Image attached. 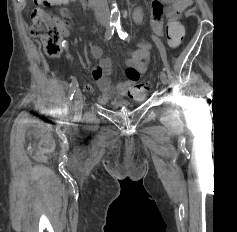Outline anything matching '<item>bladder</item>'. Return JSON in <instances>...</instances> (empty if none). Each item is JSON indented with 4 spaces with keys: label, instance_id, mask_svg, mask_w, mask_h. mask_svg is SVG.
<instances>
[{
    "label": "bladder",
    "instance_id": "31cf9c89",
    "mask_svg": "<svg viewBox=\"0 0 237 232\" xmlns=\"http://www.w3.org/2000/svg\"><path fill=\"white\" fill-rule=\"evenodd\" d=\"M127 103H116L114 104L115 107H123V106H126Z\"/></svg>",
    "mask_w": 237,
    "mask_h": 232
}]
</instances>
